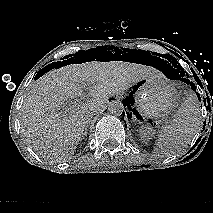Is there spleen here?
<instances>
[{"label":"spleen","instance_id":"obj_1","mask_svg":"<svg viewBox=\"0 0 213 213\" xmlns=\"http://www.w3.org/2000/svg\"><path fill=\"white\" fill-rule=\"evenodd\" d=\"M200 105L194 93H190L168 124L158 135V147L165 154H172L186 147L201 126Z\"/></svg>","mask_w":213,"mask_h":213}]
</instances>
